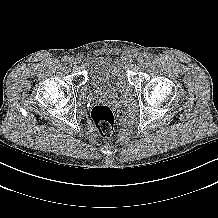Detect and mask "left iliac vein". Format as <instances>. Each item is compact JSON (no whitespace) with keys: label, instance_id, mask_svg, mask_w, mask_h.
<instances>
[{"label":"left iliac vein","instance_id":"obj_1","mask_svg":"<svg viewBox=\"0 0 218 218\" xmlns=\"http://www.w3.org/2000/svg\"><path fill=\"white\" fill-rule=\"evenodd\" d=\"M144 60H145V58H144V56L141 55V54L137 57V62H138L139 64H142V63L144 62Z\"/></svg>","mask_w":218,"mask_h":218}]
</instances>
